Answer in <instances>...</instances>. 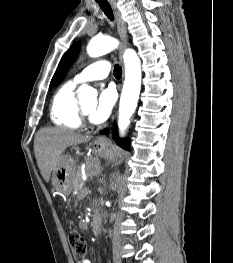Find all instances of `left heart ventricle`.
I'll return each mask as SVG.
<instances>
[{
    "instance_id": "1",
    "label": "left heart ventricle",
    "mask_w": 233,
    "mask_h": 263,
    "mask_svg": "<svg viewBox=\"0 0 233 263\" xmlns=\"http://www.w3.org/2000/svg\"><path fill=\"white\" fill-rule=\"evenodd\" d=\"M93 108H94V103H89L83 106V109L87 114H90Z\"/></svg>"
}]
</instances>
